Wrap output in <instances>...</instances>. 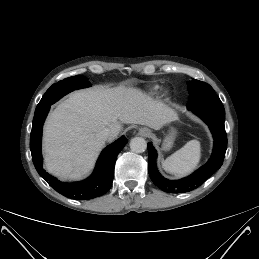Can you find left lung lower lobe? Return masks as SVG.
<instances>
[{
  "mask_svg": "<svg viewBox=\"0 0 259 259\" xmlns=\"http://www.w3.org/2000/svg\"><path fill=\"white\" fill-rule=\"evenodd\" d=\"M199 116L210 128L214 148L208 162L188 177L180 180H168L161 176L156 167L157 152L151 143H148V170L153 183L167 193H186L202 185L218 170L224 160L227 149V135L225 132V110L222 103L201 105L188 108Z\"/></svg>",
  "mask_w": 259,
  "mask_h": 259,
  "instance_id": "1",
  "label": "left lung lower lobe"
}]
</instances>
